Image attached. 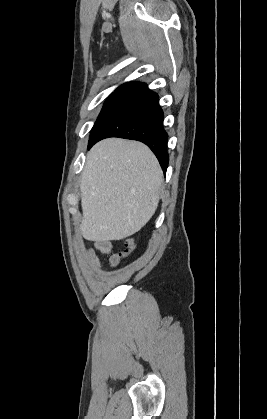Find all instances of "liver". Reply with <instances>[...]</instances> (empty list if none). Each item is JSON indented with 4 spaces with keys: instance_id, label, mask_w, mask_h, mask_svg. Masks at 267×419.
<instances>
[{
    "instance_id": "6515ba94",
    "label": "liver",
    "mask_w": 267,
    "mask_h": 419,
    "mask_svg": "<svg viewBox=\"0 0 267 419\" xmlns=\"http://www.w3.org/2000/svg\"><path fill=\"white\" fill-rule=\"evenodd\" d=\"M162 182L159 162L143 143L120 138L98 142L81 175L83 237L108 242L138 232L157 209Z\"/></svg>"
}]
</instances>
